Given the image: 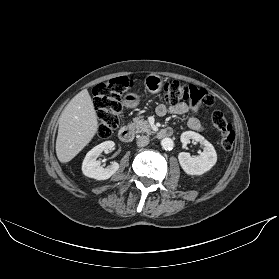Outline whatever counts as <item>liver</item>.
Segmentation results:
<instances>
[{
    "instance_id": "obj_1",
    "label": "liver",
    "mask_w": 279,
    "mask_h": 279,
    "mask_svg": "<svg viewBox=\"0 0 279 279\" xmlns=\"http://www.w3.org/2000/svg\"><path fill=\"white\" fill-rule=\"evenodd\" d=\"M56 154L61 163L71 161L98 131L92 99L86 89L74 96L59 117Z\"/></svg>"
}]
</instances>
